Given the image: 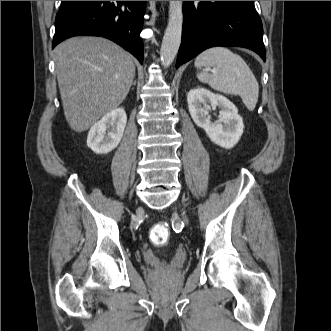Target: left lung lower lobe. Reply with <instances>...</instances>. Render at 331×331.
I'll return each mask as SVG.
<instances>
[{"label":"left lung lower lobe","mask_w":331,"mask_h":331,"mask_svg":"<svg viewBox=\"0 0 331 331\" xmlns=\"http://www.w3.org/2000/svg\"><path fill=\"white\" fill-rule=\"evenodd\" d=\"M176 67L214 46L245 47L266 60L262 22L254 1H184Z\"/></svg>","instance_id":"1"}]
</instances>
